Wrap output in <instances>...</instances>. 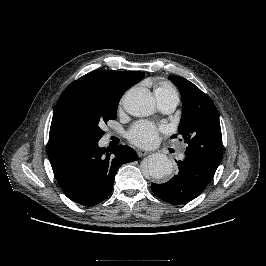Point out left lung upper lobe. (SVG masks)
Here are the masks:
<instances>
[{
  "mask_svg": "<svg viewBox=\"0 0 266 266\" xmlns=\"http://www.w3.org/2000/svg\"><path fill=\"white\" fill-rule=\"evenodd\" d=\"M169 79L182 97L178 132L188 144L186 157L217 169L223 157V145L219 116L213 101L192 82L174 75Z\"/></svg>",
  "mask_w": 266,
  "mask_h": 266,
  "instance_id": "obj_1",
  "label": "left lung upper lobe"
}]
</instances>
